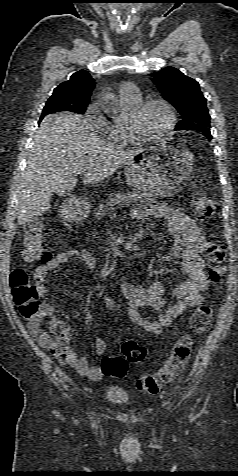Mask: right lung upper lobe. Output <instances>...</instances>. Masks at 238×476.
<instances>
[{
	"instance_id": "cb5924a9",
	"label": "right lung upper lobe",
	"mask_w": 238,
	"mask_h": 476,
	"mask_svg": "<svg viewBox=\"0 0 238 476\" xmlns=\"http://www.w3.org/2000/svg\"><path fill=\"white\" fill-rule=\"evenodd\" d=\"M94 87L95 81L91 75L85 70H80L68 81L56 87L52 95H63L69 97L73 104L87 105Z\"/></svg>"
}]
</instances>
